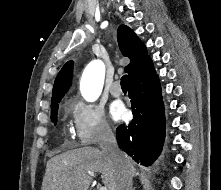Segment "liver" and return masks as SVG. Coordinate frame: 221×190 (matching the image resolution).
I'll use <instances>...</instances> for the list:
<instances>
[{
  "instance_id": "liver-1",
  "label": "liver",
  "mask_w": 221,
  "mask_h": 190,
  "mask_svg": "<svg viewBox=\"0 0 221 190\" xmlns=\"http://www.w3.org/2000/svg\"><path fill=\"white\" fill-rule=\"evenodd\" d=\"M125 157L133 177L134 163L127 155ZM89 171L102 173L107 190H115L119 171L105 153L94 147L78 148L52 157L46 164L41 190H88L94 177Z\"/></svg>"
}]
</instances>
